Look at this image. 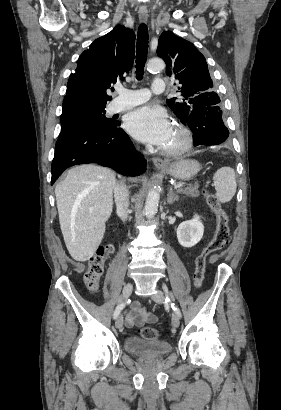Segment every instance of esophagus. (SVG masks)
Masks as SVG:
<instances>
[{
  "label": "esophagus",
  "mask_w": 281,
  "mask_h": 410,
  "mask_svg": "<svg viewBox=\"0 0 281 410\" xmlns=\"http://www.w3.org/2000/svg\"><path fill=\"white\" fill-rule=\"evenodd\" d=\"M138 14H139V19H140L141 22H146L147 21L148 16H149L147 9L140 8L139 11H138ZM152 161H153V164L155 165V167H157V168L165 167V166L168 165V163L166 161L162 160L161 158H153Z\"/></svg>",
  "instance_id": "1"
}]
</instances>
